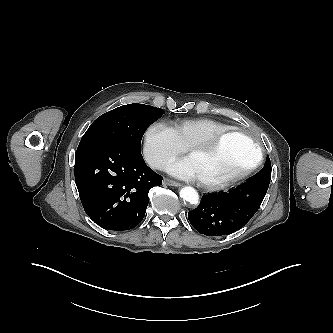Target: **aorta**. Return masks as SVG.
Instances as JSON below:
<instances>
[{
  "label": "aorta",
  "instance_id": "762f6f07",
  "mask_svg": "<svg viewBox=\"0 0 333 333\" xmlns=\"http://www.w3.org/2000/svg\"><path fill=\"white\" fill-rule=\"evenodd\" d=\"M180 197L190 203L196 205L199 201V195L196 189L191 186H185L180 190Z\"/></svg>",
  "mask_w": 333,
  "mask_h": 333
}]
</instances>
